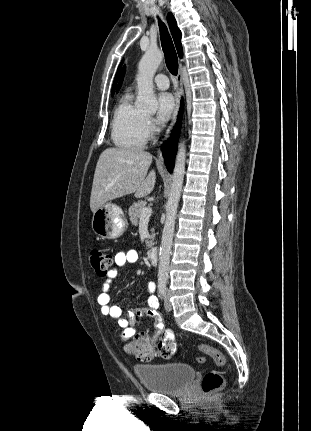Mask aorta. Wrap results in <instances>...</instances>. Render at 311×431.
<instances>
[{"label":"aorta","mask_w":311,"mask_h":431,"mask_svg":"<svg viewBox=\"0 0 311 431\" xmlns=\"http://www.w3.org/2000/svg\"><path fill=\"white\" fill-rule=\"evenodd\" d=\"M163 60V52L147 50L138 64V74L136 76L138 96L136 108H143L148 112H156L158 108L157 98L154 94L153 78ZM186 146L185 142H180L176 154L175 166L172 176L171 190L166 202V219L162 231L161 245L159 249L158 281L166 283L168 279L170 253L173 243V233L175 227L176 214L180 202L182 186L185 176Z\"/></svg>","instance_id":"aorta-1"}]
</instances>
